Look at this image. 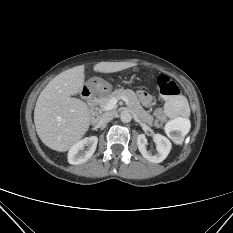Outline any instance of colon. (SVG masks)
<instances>
[{
	"label": "colon",
	"instance_id": "obj_1",
	"mask_svg": "<svg viewBox=\"0 0 233 233\" xmlns=\"http://www.w3.org/2000/svg\"><path fill=\"white\" fill-rule=\"evenodd\" d=\"M157 88L166 101L165 112L169 118L167 134L173 141L182 142L189 128L187 101L177 84L166 75L158 76Z\"/></svg>",
	"mask_w": 233,
	"mask_h": 233
}]
</instances>
